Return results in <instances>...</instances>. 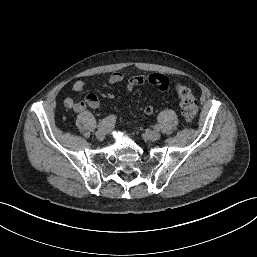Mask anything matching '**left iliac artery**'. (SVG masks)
Masks as SVG:
<instances>
[{"label":"left iliac artery","mask_w":257,"mask_h":257,"mask_svg":"<svg viewBox=\"0 0 257 257\" xmlns=\"http://www.w3.org/2000/svg\"><path fill=\"white\" fill-rule=\"evenodd\" d=\"M154 129L158 130V126H157V125H155V126H154Z\"/></svg>","instance_id":"left-iliac-artery-1"}]
</instances>
